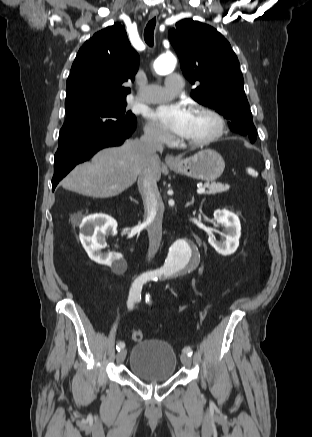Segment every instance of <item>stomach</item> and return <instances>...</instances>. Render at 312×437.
<instances>
[{
	"label": "stomach",
	"mask_w": 312,
	"mask_h": 437,
	"mask_svg": "<svg viewBox=\"0 0 312 437\" xmlns=\"http://www.w3.org/2000/svg\"><path fill=\"white\" fill-rule=\"evenodd\" d=\"M169 168L177 174L212 182L218 179L225 168L222 156L212 149L201 150L194 155L180 159Z\"/></svg>",
	"instance_id": "1"
}]
</instances>
